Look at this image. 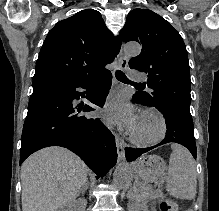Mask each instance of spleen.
I'll list each match as a JSON object with an SVG mask.
<instances>
[{
    "mask_svg": "<svg viewBox=\"0 0 219 211\" xmlns=\"http://www.w3.org/2000/svg\"><path fill=\"white\" fill-rule=\"evenodd\" d=\"M172 149L166 177L167 191L179 199H193L197 187L195 161L183 145L173 143Z\"/></svg>",
    "mask_w": 219,
    "mask_h": 211,
    "instance_id": "spleen-1",
    "label": "spleen"
}]
</instances>
